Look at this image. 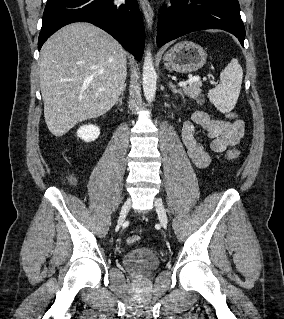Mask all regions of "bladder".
Returning <instances> with one entry per match:
<instances>
[{
    "label": "bladder",
    "instance_id": "bladder-1",
    "mask_svg": "<svg viewBox=\"0 0 284 319\" xmlns=\"http://www.w3.org/2000/svg\"><path fill=\"white\" fill-rule=\"evenodd\" d=\"M123 267L132 275L145 277L158 269L159 256L151 249L137 248L126 252L122 258Z\"/></svg>",
    "mask_w": 284,
    "mask_h": 319
}]
</instances>
